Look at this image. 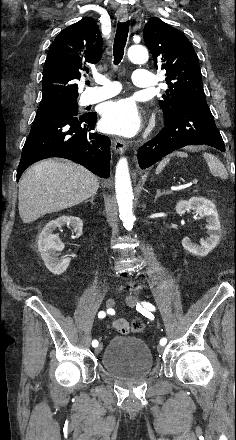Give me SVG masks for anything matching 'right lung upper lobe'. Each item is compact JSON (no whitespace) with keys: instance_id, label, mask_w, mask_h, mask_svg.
I'll use <instances>...</instances> for the list:
<instances>
[{"instance_id":"right-lung-upper-lobe-1","label":"right lung upper lobe","mask_w":236,"mask_h":440,"mask_svg":"<svg viewBox=\"0 0 236 440\" xmlns=\"http://www.w3.org/2000/svg\"><path fill=\"white\" fill-rule=\"evenodd\" d=\"M101 56L102 37L93 18L85 17L62 30L48 50L39 108L76 101L77 82Z\"/></svg>"}]
</instances>
